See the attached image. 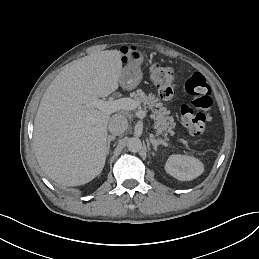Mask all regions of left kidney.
Instances as JSON below:
<instances>
[{
	"label": "left kidney",
	"instance_id": "obj_1",
	"mask_svg": "<svg viewBox=\"0 0 259 259\" xmlns=\"http://www.w3.org/2000/svg\"><path fill=\"white\" fill-rule=\"evenodd\" d=\"M165 171L178 180L190 181L203 173L204 166L194 157L174 154L169 156Z\"/></svg>",
	"mask_w": 259,
	"mask_h": 259
}]
</instances>
